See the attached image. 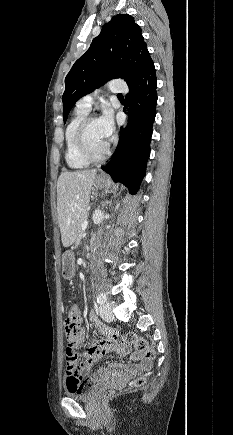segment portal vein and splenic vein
<instances>
[{
	"label": "portal vein and splenic vein",
	"mask_w": 233,
	"mask_h": 435,
	"mask_svg": "<svg viewBox=\"0 0 233 435\" xmlns=\"http://www.w3.org/2000/svg\"><path fill=\"white\" fill-rule=\"evenodd\" d=\"M87 226H88V221H84V222L81 224V229H82V230H85V229L87 228Z\"/></svg>",
	"instance_id": "obj_1"
}]
</instances>
